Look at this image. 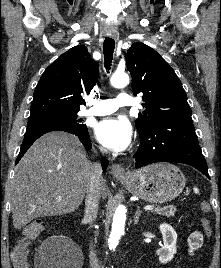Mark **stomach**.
<instances>
[{"mask_svg":"<svg viewBox=\"0 0 221 268\" xmlns=\"http://www.w3.org/2000/svg\"><path fill=\"white\" fill-rule=\"evenodd\" d=\"M128 191L150 203L175 199L185 187L182 171L170 163H156L131 172L121 179Z\"/></svg>","mask_w":221,"mask_h":268,"instance_id":"0dacf381","label":"stomach"}]
</instances>
